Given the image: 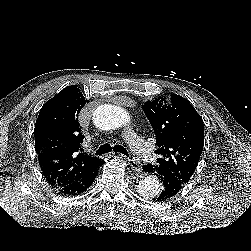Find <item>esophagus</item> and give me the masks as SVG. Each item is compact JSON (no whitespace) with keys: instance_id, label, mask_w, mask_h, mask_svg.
Here are the masks:
<instances>
[{"instance_id":"obj_1","label":"esophagus","mask_w":251,"mask_h":251,"mask_svg":"<svg viewBox=\"0 0 251 251\" xmlns=\"http://www.w3.org/2000/svg\"><path fill=\"white\" fill-rule=\"evenodd\" d=\"M116 156L120 157V158H125V156L123 154L120 153H116ZM128 165L131 167V169L137 173L141 172V166H140V162L137 159H131L128 158Z\"/></svg>"}]
</instances>
